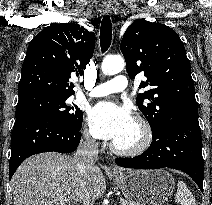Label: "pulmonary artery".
<instances>
[{"label":"pulmonary artery","mask_w":212,"mask_h":205,"mask_svg":"<svg viewBox=\"0 0 212 205\" xmlns=\"http://www.w3.org/2000/svg\"><path fill=\"white\" fill-rule=\"evenodd\" d=\"M128 86L127 78L124 75H117L113 79L96 85L90 92V96L102 97L112 93L125 90Z\"/></svg>","instance_id":"1"}]
</instances>
